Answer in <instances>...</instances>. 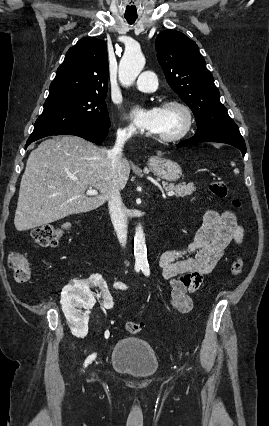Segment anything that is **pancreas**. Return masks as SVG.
<instances>
[{"instance_id": "cf45deb5", "label": "pancreas", "mask_w": 269, "mask_h": 426, "mask_svg": "<svg viewBox=\"0 0 269 426\" xmlns=\"http://www.w3.org/2000/svg\"><path fill=\"white\" fill-rule=\"evenodd\" d=\"M163 188L166 191H173L175 193L176 197H185L187 195L192 194L194 191H196V187L194 186V183H188V184H168L166 182H163Z\"/></svg>"}]
</instances>
